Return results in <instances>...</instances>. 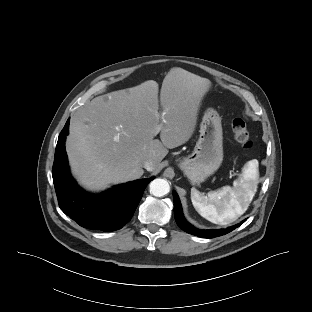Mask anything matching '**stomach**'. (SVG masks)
<instances>
[{
  "label": "stomach",
  "instance_id": "stomach-1",
  "mask_svg": "<svg viewBox=\"0 0 312 312\" xmlns=\"http://www.w3.org/2000/svg\"><path fill=\"white\" fill-rule=\"evenodd\" d=\"M200 136L194 150L177 160V165L192 184L204 182L223 161V131L221 117L208 108L200 123Z\"/></svg>",
  "mask_w": 312,
  "mask_h": 312
}]
</instances>
